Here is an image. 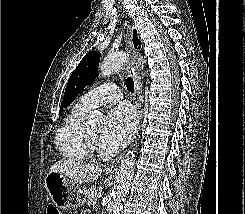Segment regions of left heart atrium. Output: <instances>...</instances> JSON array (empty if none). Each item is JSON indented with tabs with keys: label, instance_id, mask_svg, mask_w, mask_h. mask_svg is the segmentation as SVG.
Masks as SVG:
<instances>
[{
	"label": "left heart atrium",
	"instance_id": "1",
	"mask_svg": "<svg viewBox=\"0 0 245 214\" xmlns=\"http://www.w3.org/2000/svg\"><path fill=\"white\" fill-rule=\"evenodd\" d=\"M135 127V116L127 106H119L105 118L98 132L97 143L103 151L115 153L130 140Z\"/></svg>",
	"mask_w": 245,
	"mask_h": 214
}]
</instances>
